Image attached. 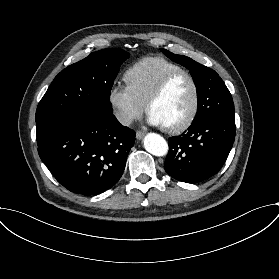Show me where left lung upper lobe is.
<instances>
[{
	"instance_id": "left-lung-upper-lobe-1",
	"label": "left lung upper lobe",
	"mask_w": 279,
	"mask_h": 279,
	"mask_svg": "<svg viewBox=\"0 0 279 279\" xmlns=\"http://www.w3.org/2000/svg\"><path fill=\"white\" fill-rule=\"evenodd\" d=\"M161 51L172 61L190 70L197 89L198 111L193 121L205 116H221L234 118V103L232 96L218 74L189 57L176 55L168 50Z\"/></svg>"
}]
</instances>
